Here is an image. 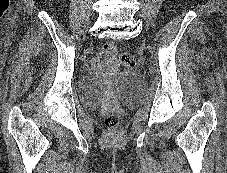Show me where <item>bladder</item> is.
I'll use <instances>...</instances> for the list:
<instances>
[{
  "instance_id": "bladder-1",
  "label": "bladder",
  "mask_w": 227,
  "mask_h": 173,
  "mask_svg": "<svg viewBox=\"0 0 227 173\" xmlns=\"http://www.w3.org/2000/svg\"><path fill=\"white\" fill-rule=\"evenodd\" d=\"M145 93L143 79L127 73L109 78L84 76L78 83V96L83 106L93 109L111 97L126 105H135Z\"/></svg>"
}]
</instances>
